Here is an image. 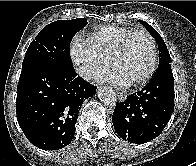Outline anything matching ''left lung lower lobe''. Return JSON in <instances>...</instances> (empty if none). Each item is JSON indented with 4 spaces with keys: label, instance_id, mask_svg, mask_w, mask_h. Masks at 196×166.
I'll return each mask as SVG.
<instances>
[{
    "label": "left lung lower lobe",
    "instance_id": "obj_1",
    "mask_svg": "<svg viewBox=\"0 0 196 166\" xmlns=\"http://www.w3.org/2000/svg\"><path fill=\"white\" fill-rule=\"evenodd\" d=\"M174 111V78L171 64L159 66L150 82L116 105L112 121L117 134L130 143L157 137Z\"/></svg>",
    "mask_w": 196,
    "mask_h": 166
}]
</instances>
